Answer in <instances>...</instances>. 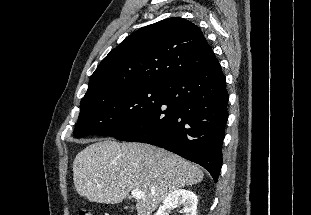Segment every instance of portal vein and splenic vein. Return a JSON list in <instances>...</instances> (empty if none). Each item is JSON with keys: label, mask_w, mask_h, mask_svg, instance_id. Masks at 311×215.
<instances>
[{"label": "portal vein and splenic vein", "mask_w": 311, "mask_h": 215, "mask_svg": "<svg viewBox=\"0 0 311 215\" xmlns=\"http://www.w3.org/2000/svg\"><path fill=\"white\" fill-rule=\"evenodd\" d=\"M131 196L133 197V198H135V199H144L145 198V196H144V194L140 191V190H138V189H134V190H132L131 191Z\"/></svg>", "instance_id": "portal-vein-and-splenic-vein-1"}]
</instances>
